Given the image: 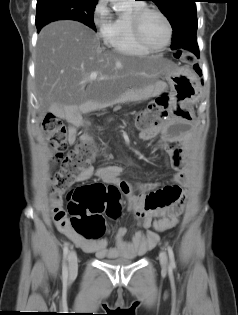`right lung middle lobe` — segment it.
Returning <instances> with one entry per match:
<instances>
[{
	"label": "right lung middle lobe",
	"instance_id": "obj_1",
	"mask_svg": "<svg viewBox=\"0 0 238 315\" xmlns=\"http://www.w3.org/2000/svg\"><path fill=\"white\" fill-rule=\"evenodd\" d=\"M97 0H37L36 27L55 20H76L96 31L93 20Z\"/></svg>",
	"mask_w": 238,
	"mask_h": 315
}]
</instances>
